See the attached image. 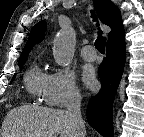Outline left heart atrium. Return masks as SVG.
<instances>
[{"instance_id":"39dd6f15","label":"left heart atrium","mask_w":144,"mask_h":137,"mask_svg":"<svg viewBox=\"0 0 144 137\" xmlns=\"http://www.w3.org/2000/svg\"><path fill=\"white\" fill-rule=\"evenodd\" d=\"M82 78L87 87L93 88L96 85L95 72L91 67L89 66L84 67L82 72Z\"/></svg>"}]
</instances>
